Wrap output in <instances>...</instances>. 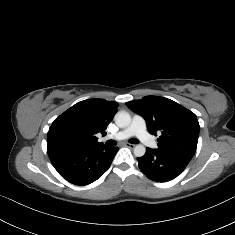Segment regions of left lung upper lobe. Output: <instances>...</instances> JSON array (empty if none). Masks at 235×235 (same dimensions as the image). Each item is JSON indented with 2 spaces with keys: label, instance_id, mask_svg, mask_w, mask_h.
Returning <instances> with one entry per match:
<instances>
[{
  "label": "left lung upper lobe",
  "instance_id": "obj_1",
  "mask_svg": "<svg viewBox=\"0 0 235 235\" xmlns=\"http://www.w3.org/2000/svg\"><path fill=\"white\" fill-rule=\"evenodd\" d=\"M146 120L150 134H160L157 151L191 160L197 148L200 126L196 115L180 104L158 96L126 103Z\"/></svg>",
  "mask_w": 235,
  "mask_h": 235
}]
</instances>
